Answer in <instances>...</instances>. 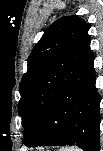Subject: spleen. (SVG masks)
Masks as SVG:
<instances>
[{
	"mask_svg": "<svg viewBox=\"0 0 103 151\" xmlns=\"http://www.w3.org/2000/svg\"><path fill=\"white\" fill-rule=\"evenodd\" d=\"M60 151H82V150L78 147H65L60 149Z\"/></svg>",
	"mask_w": 103,
	"mask_h": 151,
	"instance_id": "3e777b00",
	"label": "spleen"
}]
</instances>
